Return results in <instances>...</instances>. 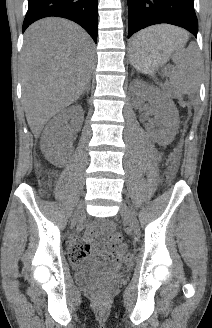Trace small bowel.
Segmentation results:
<instances>
[{
    "label": "small bowel",
    "instance_id": "obj_1",
    "mask_svg": "<svg viewBox=\"0 0 212 328\" xmlns=\"http://www.w3.org/2000/svg\"><path fill=\"white\" fill-rule=\"evenodd\" d=\"M106 229L105 224L102 225ZM92 251L99 252L105 263L99 264L104 269H119L122 262V253L114 250L110 245L97 241V227L94 225L86 229L84 238H76L70 245V256H75L78 262L85 259Z\"/></svg>",
    "mask_w": 212,
    "mask_h": 328
}]
</instances>
